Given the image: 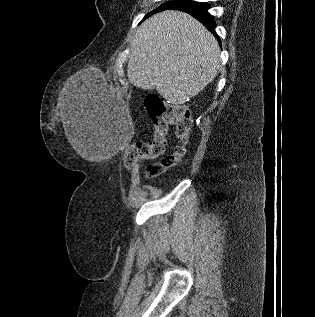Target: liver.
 <instances>
[{"mask_svg":"<svg viewBox=\"0 0 315 317\" xmlns=\"http://www.w3.org/2000/svg\"><path fill=\"white\" fill-rule=\"evenodd\" d=\"M219 55L217 40L199 21L184 12L164 11L137 30L127 76L135 87L156 88L173 105H182L214 79ZM61 120L70 144L86 157L83 121L72 96L63 101Z\"/></svg>","mask_w":315,"mask_h":317,"instance_id":"6515ba94","label":"liver"}]
</instances>
